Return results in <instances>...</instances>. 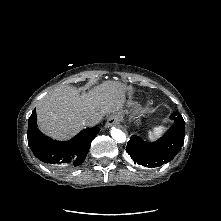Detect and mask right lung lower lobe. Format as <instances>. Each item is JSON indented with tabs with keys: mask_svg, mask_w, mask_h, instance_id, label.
Listing matches in <instances>:
<instances>
[{
	"mask_svg": "<svg viewBox=\"0 0 221 221\" xmlns=\"http://www.w3.org/2000/svg\"><path fill=\"white\" fill-rule=\"evenodd\" d=\"M99 130L98 127L84 129L69 141L52 140L37 128L36 110H34L28 123V144L41 161L59 169H72L84 161L91 141Z\"/></svg>",
	"mask_w": 221,
	"mask_h": 221,
	"instance_id": "98d812e1",
	"label": "right lung lower lobe"
}]
</instances>
